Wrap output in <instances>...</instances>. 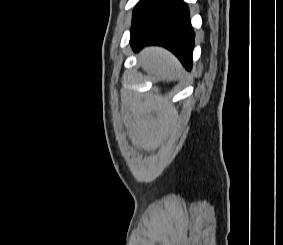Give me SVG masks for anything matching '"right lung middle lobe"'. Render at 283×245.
Returning a JSON list of instances; mask_svg holds the SVG:
<instances>
[{
    "mask_svg": "<svg viewBox=\"0 0 283 245\" xmlns=\"http://www.w3.org/2000/svg\"><path fill=\"white\" fill-rule=\"evenodd\" d=\"M154 0H140L137 4L136 8L134 9V16L133 18L138 15L143 9L149 6Z\"/></svg>",
    "mask_w": 283,
    "mask_h": 245,
    "instance_id": "obj_1",
    "label": "right lung middle lobe"
}]
</instances>
